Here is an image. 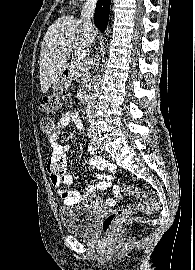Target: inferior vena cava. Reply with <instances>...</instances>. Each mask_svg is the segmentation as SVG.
<instances>
[{
  "label": "inferior vena cava",
  "instance_id": "1",
  "mask_svg": "<svg viewBox=\"0 0 195 270\" xmlns=\"http://www.w3.org/2000/svg\"><path fill=\"white\" fill-rule=\"evenodd\" d=\"M97 0H86L85 5L81 11V19L83 24L87 27H92V18L94 15V10ZM99 90V82L97 76H93L91 93L87 103L86 113L88 120L92 126V131L95 130L94 125V116H95V107H96V97Z\"/></svg>",
  "mask_w": 195,
  "mask_h": 270
}]
</instances>
